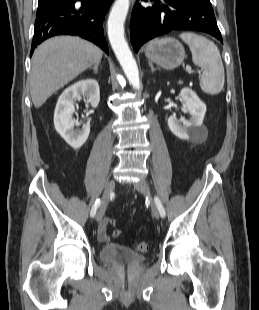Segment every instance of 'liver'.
<instances>
[{
	"instance_id": "6515ba94",
	"label": "liver",
	"mask_w": 259,
	"mask_h": 310,
	"mask_svg": "<svg viewBox=\"0 0 259 310\" xmlns=\"http://www.w3.org/2000/svg\"><path fill=\"white\" fill-rule=\"evenodd\" d=\"M103 51L79 37L56 36L38 46L32 57L30 93L41 107L61 87L101 61Z\"/></svg>"
}]
</instances>
